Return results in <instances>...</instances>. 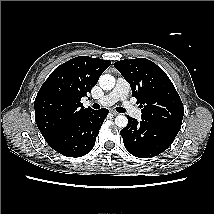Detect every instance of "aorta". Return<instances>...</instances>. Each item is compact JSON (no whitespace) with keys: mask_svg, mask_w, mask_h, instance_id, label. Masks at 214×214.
<instances>
[{"mask_svg":"<svg viewBox=\"0 0 214 214\" xmlns=\"http://www.w3.org/2000/svg\"><path fill=\"white\" fill-rule=\"evenodd\" d=\"M99 85L103 90H111L115 86V78L110 74L101 75ZM115 124L120 128H125L128 124V119L124 115H118L115 118Z\"/></svg>","mask_w":214,"mask_h":214,"instance_id":"1","label":"aorta"}]
</instances>
